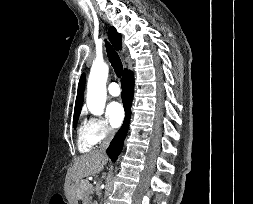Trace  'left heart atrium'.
<instances>
[{"mask_svg": "<svg viewBox=\"0 0 253 204\" xmlns=\"http://www.w3.org/2000/svg\"><path fill=\"white\" fill-rule=\"evenodd\" d=\"M106 115L112 127L117 128L124 119V109L119 102H111L106 108Z\"/></svg>", "mask_w": 253, "mask_h": 204, "instance_id": "left-heart-atrium-1", "label": "left heart atrium"}]
</instances>
